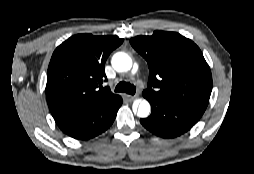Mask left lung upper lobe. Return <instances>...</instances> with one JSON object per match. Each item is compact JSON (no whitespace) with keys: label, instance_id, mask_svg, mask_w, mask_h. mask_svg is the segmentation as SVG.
<instances>
[{"label":"left lung upper lobe","instance_id":"left-lung-upper-lobe-1","mask_svg":"<svg viewBox=\"0 0 254 174\" xmlns=\"http://www.w3.org/2000/svg\"><path fill=\"white\" fill-rule=\"evenodd\" d=\"M130 43L148 62V89L143 95L204 113L212 76L193 41L175 32L155 31L152 36L134 37Z\"/></svg>","mask_w":254,"mask_h":174}]
</instances>
